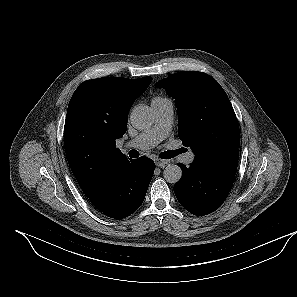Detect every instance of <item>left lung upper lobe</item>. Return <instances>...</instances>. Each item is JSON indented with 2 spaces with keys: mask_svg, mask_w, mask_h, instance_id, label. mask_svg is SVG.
<instances>
[{
  "mask_svg": "<svg viewBox=\"0 0 297 297\" xmlns=\"http://www.w3.org/2000/svg\"><path fill=\"white\" fill-rule=\"evenodd\" d=\"M157 87L175 99L178 134L194 154L206 162L240 146L235 112L220 84L206 73L184 71L160 80Z\"/></svg>",
  "mask_w": 297,
  "mask_h": 297,
  "instance_id": "obj_1",
  "label": "left lung upper lobe"
}]
</instances>
